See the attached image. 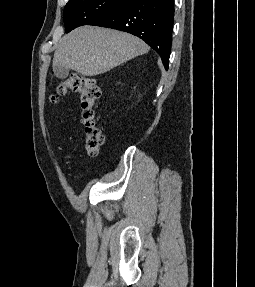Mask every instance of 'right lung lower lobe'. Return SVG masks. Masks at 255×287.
I'll return each instance as SVG.
<instances>
[{
    "instance_id": "right-lung-lower-lobe-1",
    "label": "right lung lower lobe",
    "mask_w": 255,
    "mask_h": 287,
    "mask_svg": "<svg viewBox=\"0 0 255 287\" xmlns=\"http://www.w3.org/2000/svg\"><path fill=\"white\" fill-rule=\"evenodd\" d=\"M174 0H127L88 25L113 28L144 40L168 69L174 23Z\"/></svg>"
}]
</instances>
